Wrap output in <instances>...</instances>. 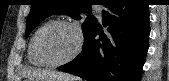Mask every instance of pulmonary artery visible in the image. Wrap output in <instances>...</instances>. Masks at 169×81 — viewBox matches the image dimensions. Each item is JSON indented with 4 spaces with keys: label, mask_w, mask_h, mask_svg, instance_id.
<instances>
[{
    "label": "pulmonary artery",
    "mask_w": 169,
    "mask_h": 81,
    "mask_svg": "<svg viewBox=\"0 0 169 81\" xmlns=\"http://www.w3.org/2000/svg\"><path fill=\"white\" fill-rule=\"evenodd\" d=\"M95 11H96L98 17L101 19V7L100 6H96L95 7Z\"/></svg>",
    "instance_id": "e3ab8cb5"
}]
</instances>
